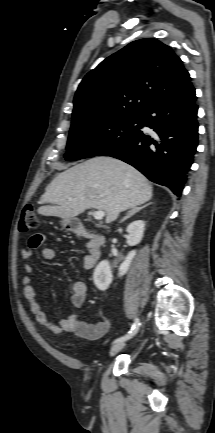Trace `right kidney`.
Masks as SVG:
<instances>
[{"instance_id": "right-kidney-1", "label": "right kidney", "mask_w": 215, "mask_h": 433, "mask_svg": "<svg viewBox=\"0 0 215 433\" xmlns=\"http://www.w3.org/2000/svg\"><path fill=\"white\" fill-rule=\"evenodd\" d=\"M145 230V222L142 220H136L130 223L126 229L127 243L130 246H135L142 240ZM136 255V251L132 250L128 253L125 260L119 267V276H123L127 273L133 258ZM113 275L110 269L109 262L107 260L101 261L95 268L93 274V280L97 288L101 291H105L111 284Z\"/></svg>"}]
</instances>
